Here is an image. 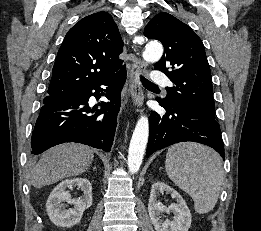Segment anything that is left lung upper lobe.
I'll list each match as a JSON object with an SVG mask.
<instances>
[{"label":"left lung upper lobe","instance_id":"5c2ea615","mask_svg":"<svg viewBox=\"0 0 261 231\" xmlns=\"http://www.w3.org/2000/svg\"><path fill=\"white\" fill-rule=\"evenodd\" d=\"M144 35L159 40L163 57L154 65L175 84L167 88V103H180L215 118L211 71L201 39L174 16L162 12L153 17ZM172 70H168V68Z\"/></svg>","mask_w":261,"mask_h":231}]
</instances>
